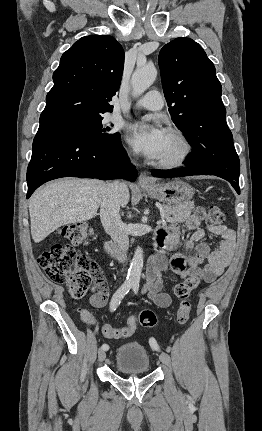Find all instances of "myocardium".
Here are the masks:
<instances>
[{
  "instance_id": "myocardium-1",
  "label": "myocardium",
  "mask_w": 262,
  "mask_h": 431,
  "mask_svg": "<svg viewBox=\"0 0 262 431\" xmlns=\"http://www.w3.org/2000/svg\"><path fill=\"white\" fill-rule=\"evenodd\" d=\"M166 132L171 135L179 145L178 153L169 159L157 160L155 166L163 169H174L184 166L193 153V147L189 138L177 128H167Z\"/></svg>"
}]
</instances>
